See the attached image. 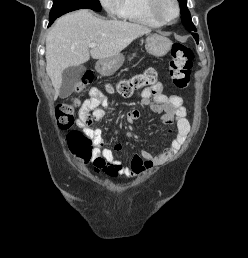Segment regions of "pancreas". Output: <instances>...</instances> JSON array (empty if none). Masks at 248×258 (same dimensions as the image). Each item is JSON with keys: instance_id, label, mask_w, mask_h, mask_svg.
Listing matches in <instances>:
<instances>
[{"instance_id": "cf45deb5", "label": "pancreas", "mask_w": 248, "mask_h": 258, "mask_svg": "<svg viewBox=\"0 0 248 258\" xmlns=\"http://www.w3.org/2000/svg\"><path fill=\"white\" fill-rule=\"evenodd\" d=\"M134 56H135V54H133V56L129 58V61H131V60L133 59V57H134Z\"/></svg>"}]
</instances>
